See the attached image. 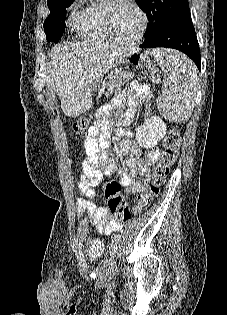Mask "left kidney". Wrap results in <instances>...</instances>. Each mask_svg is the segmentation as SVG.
<instances>
[{
	"label": "left kidney",
	"instance_id": "obj_1",
	"mask_svg": "<svg viewBox=\"0 0 227 315\" xmlns=\"http://www.w3.org/2000/svg\"><path fill=\"white\" fill-rule=\"evenodd\" d=\"M136 140L139 146L153 148L166 134V124L157 116L145 120L136 130Z\"/></svg>",
	"mask_w": 227,
	"mask_h": 315
}]
</instances>
